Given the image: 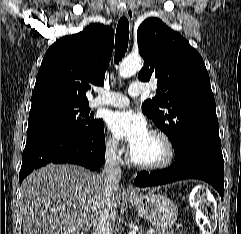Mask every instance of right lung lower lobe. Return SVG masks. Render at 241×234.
I'll list each match as a JSON object with an SVG mask.
<instances>
[{"mask_svg":"<svg viewBox=\"0 0 241 234\" xmlns=\"http://www.w3.org/2000/svg\"><path fill=\"white\" fill-rule=\"evenodd\" d=\"M104 158V125L88 136L64 128L27 132L19 181L21 184L33 170L50 163H72L96 170Z\"/></svg>","mask_w":241,"mask_h":234,"instance_id":"right-lung-lower-lobe-1","label":"right lung lower lobe"}]
</instances>
